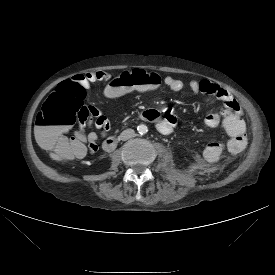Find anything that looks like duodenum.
<instances>
[{
    "mask_svg": "<svg viewBox=\"0 0 275 275\" xmlns=\"http://www.w3.org/2000/svg\"><path fill=\"white\" fill-rule=\"evenodd\" d=\"M148 110L140 114L139 118L144 121H150L147 116ZM118 144V138L116 135L107 137L103 142V149L106 151H112Z\"/></svg>",
    "mask_w": 275,
    "mask_h": 275,
    "instance_id": "duodenum-1",
    "label": "duodenum"
}]
</instances>
